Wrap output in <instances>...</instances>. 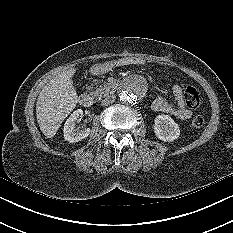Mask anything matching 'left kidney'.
Returning <instances> with one entry per match:
<instances>
[{"label":"left kidney","mask_w":233,"mask_h":233,"mask_svg":"<svg viewBox=\"0 0 233 233\" xmlns=\"http://www.w3.org/2000/svg\"><path fill=\"white\" fill-rule=\"evenodd\" d=\"M154 123V133L158 139L164 142H172L179 137V126L169 115H158L154 119Z\"/></svg>","instance_id":"1"}]
</instances>
